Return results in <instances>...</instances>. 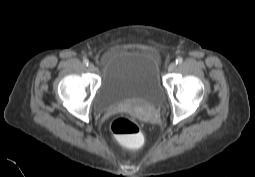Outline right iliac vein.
Listing matches in <instances>:
<instances>
[{"instance_id": "1", "label": "right iliac vein", "mask_w": 255, "mask_h": 177, "mask_svg": "<svg viewBox=\"0 0 255 177\" xmlns=\"http://www.w3.org/2000/svg\"><path fill=\"white\" fill-rule=\"evenodd\" d=\"M88 70L91 71V72H95L96 71V67L94 64H89L88 65Z\"/></svg>"}]
</instances>
